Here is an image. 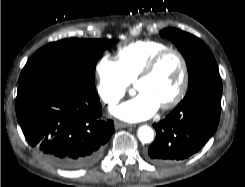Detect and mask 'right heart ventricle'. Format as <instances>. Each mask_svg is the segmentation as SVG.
I'll return each mask as SVG.
<instances>
[{
    "label": "right heart ventricle",
    "instance_id": "1",
    "mask_svg": "<svg viewBox=\"0 0 245 187\" xmlns=\"http://www.w3.org/2000/svg\"><path fill=\"white\" fill-rule=\"evenodd\" d=\"M168 45L156 40H137L120 46L116 52V61L129 82L136 80L146 62Z\"/></svg>",
    "mask_w": 245,
    "mask_h": 187
}]
</instances>
